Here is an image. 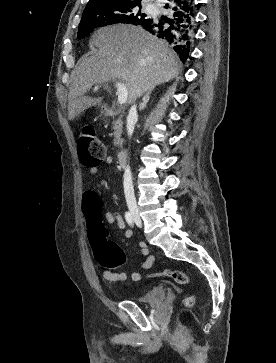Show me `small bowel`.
I'll use <instances>...</instances> for the list:
<instances>
[{
    "instance_id": "c3829d8e",
    "label": "small bowel",
    "mask_w": 276,
    "mask_h": 363,
    "mask_svg": "<svg viewBox=\"0 0 276 363\" xmlns=\"http://www.w3.org/2000/svg\"><path fill=\"white\" fill-rule=\"evenodd\" d=\"M112 162V157L109 156L105 159L106 164H110ZM98 169L97 167H91L89 169L90 175L97 174ZM100 207V200L99 196L95 191H85L83 195V208L85 212H87L88 209L98 211ZM105 220L107 223H115L119 229L124 230L125 229V222L121 216V214L117 211L113 212H107L105 214ZM132 232L127 231L126 237H131ZM138 247L140 249L141 255L144 258V261L142 262V267L144 269L150 268L155 263V257L152 255H149V250L147 245L144 242H139ZM102 277L104 280L109 282H117V281H125L128 279V275L125 272H114L111 270H105L102 273ZM141 278V274L138 272H133L130 274V279L133 281H137Z\"/></svg>"
}]
</instances>
